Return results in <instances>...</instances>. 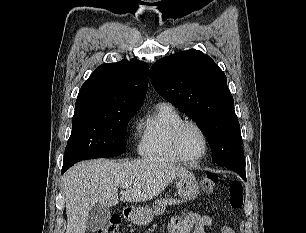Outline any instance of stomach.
Instances as JSON below:
<instances>
[{"instance_id": "1", "label": "stomach", "mask_w": 306, "mask_h": 233, "mask_svg": "<svg viewBox=\"0 0 306 233\" xmlns=\"http://www.w3.org/2000/svg\"><path fill=\"white\" fill-rule=\"evenodd\" d=\"M179 196L183 200L195 199L199 194V185L193 174H187L181 176L176 182ZM153 219V212L150 208H140L135 210L130 220L137 225H146Z\"/></svg>"}]
</instances>
